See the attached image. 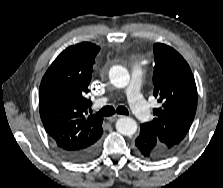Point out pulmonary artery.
Wrapping results in <instances>:
<instances>
[{
	"label": "pulmonary artery",
	"mask_w": 223,
	"mask_h": 188,
	"mask_svg": "<svg viewBox=\"0 0 223 188\" xmlns=\"http://www.w3.org/2000/svg\"><path fill=\"white\" fill-rule=\"evenodd\" d=\"M142 74V64L140 62L135 63L132 67V78L127 90V96L134 114L140 120L147 121L151 117V112L141 93ZM107 102V97H101L97 100L98 105H105Z\"/></svg>",
	"instance_id": "e3ab8cb5"
}]
</instances>
